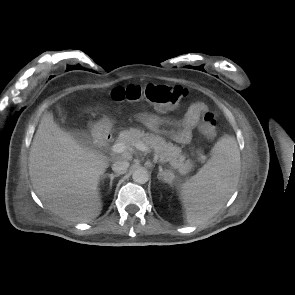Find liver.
I'll use <instances>...</instances> for the list:
<instances>
[{"label": "liver", "instance_id": "liver-1", "mask_svg": "<svg viewBox=\"0 0 295 295\" xmlns=\"http://www.w3.org/2000/svg\"><path fill=\"white\" fill-rule=\"evenodd\" d=\"M108 159L83 147L45 114L29 155V174L39 198L59 217L88 222L101 213L99 182Z\"/></svg>", "mask_w": 295, "mask_h": 295}]
</instances>
